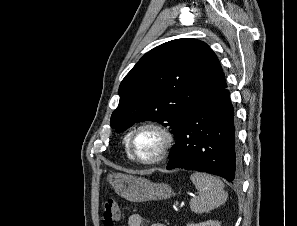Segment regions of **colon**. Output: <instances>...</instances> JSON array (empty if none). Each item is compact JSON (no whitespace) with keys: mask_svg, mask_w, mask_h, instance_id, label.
<instances>
[{"mask_svg":"<svg viewBox=\"0 0 297 226\" xmlns=\"http://www.w3.org/2000/svg\"><path fill=\"white\" fill-rule=\"evenodd\" d=\"M120 220V210L117 202L113 199H108L103 207V222L105 226H115Z\"/></svg>","mask_w":297,"mask_h":226,"instance_id":"obj_1","label":"colon"}]
</instances>
